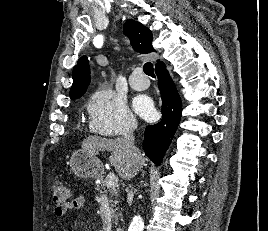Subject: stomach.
<instances>
[{
  "instance_id": "1",
  "label": "stomach",
  "mask_w": 268,
  "mask_h": 231,
  "mask_svg": "<svg viewBox=\"0 0 268 231\" xmlns=\"http://www.w3.org/2000/svg\"><path fill=\"white\" fill-rule=\"evenodd\" d=\"M72 172L79 178H98L103 166L96 155L83 148L75 150L69 160Z\"/></svg>"
}]
</instances>
